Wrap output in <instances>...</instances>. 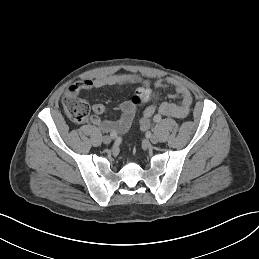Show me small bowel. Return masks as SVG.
Returning a JSON list of instances; mask_svg holds the SVG:
<instances>
[{
  "label": "small bowel",
  "mask_w": 259,
  "mask_h": 259,
  "mask_svg": "<svg viewBox=\"0 0 259 259\" xmlns=\"http://www.w3.org/2000/svg\"><path fill=\"white\" fill-rule=\"evenodd\" d=\"M143 83V85L150 86L149 81L141 79L139 76L134 74H118L111 76H104L97 79L85 80L79 83L72 84L69 86L66 97L77 96L80 91H90L95 89H101L109 86H123ZM167 85H171L175 88V94L171 97L180 98V103L163 102L158 111L165 116L175 118H185L189 112L193 102L191 92L179 81L173 78H169L166 81L156 80L152 86L156 89L163 88ZM154 95L152 96V99ZM122 112L121 117L116 120H102L97 115L103 114L107 111V107L104 104H94L92 110L95 115L91 116L90 121L92 124L98 126L104 132H115L116 134L125 133L131 126L135 116L136 106L131 100L125 101L120 105ZM156 112V106L150 104L143 111V116L140 120V126L146 130L150 126V121Z\"/></svg>",
  "instance_id": "obj_1"
}]
</instances>
